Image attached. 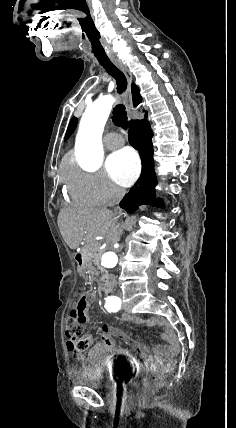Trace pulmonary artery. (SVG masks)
Here are the masks:
<instances>
[{"label": "pulmonary artery", "mask_w": 236, "mask_h": 428, "mask_svg": "<svg viewBox=\"0 0 236 428\" xmlns=\"http://www.w3.org/2000/svg\"><path fill=\"white\" fill-rule=\"evenodd\" d=\"M114 135H116L115 133H112V134H109L108 135V138L109 137H112V136H114ZM125 143V140L124 139H121L118 143H110V142H106V147L107 148H109V149H116V148H118V147H120L122 144H124Z\"/></svg>", "instance_id": "1"}]
</instances>
